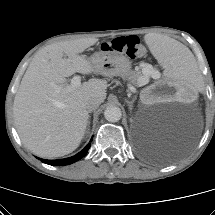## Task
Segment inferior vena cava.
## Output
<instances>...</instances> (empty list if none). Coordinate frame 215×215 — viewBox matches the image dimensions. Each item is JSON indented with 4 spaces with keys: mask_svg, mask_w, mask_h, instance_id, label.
Instances as JSON below:
<instances>
[{
    "mask_svg": "<svg viewBox=\"0 0 215 215\" xmlns=\"http://www.w3.org/2000/svg\"><path fill=\"white\" fill-rule=\"evenodd\" d=\"M101 104V100L98 98H91L86 102V109L88 112H91L98 108V106Z\"/></svg>",
    "mask_w": 215,
    "mask_h": 215,
    "instance_id": "obj_1",
    "label": "inferior vena cava"
}]
</instances>
